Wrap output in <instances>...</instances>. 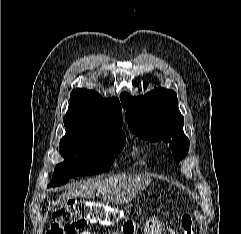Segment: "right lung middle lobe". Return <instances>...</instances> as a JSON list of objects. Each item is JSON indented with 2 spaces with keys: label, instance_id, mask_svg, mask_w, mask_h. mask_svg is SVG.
Wrapping results in <instances>:
<instances>
[{
  "label": "right lung middle lobe",
  "instance_id": "dd1d6c3e",
  "mask_svg": "<svg viewBox=\"0 0 241 234\" xmlns=\"http://www.w3.org/2000/svg\"><path fill=\"white\" fill-rule=\"evenodd\" d=\"M64 125L66 135L59 144L64 162L56 165L48 187L63 185L69 178L105 172L125 146L122 130L85 129L65 119Z\"/></svg>",
  "mask_w": 241,
  "mask_h": 234
}]
</instances>
